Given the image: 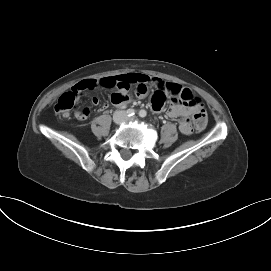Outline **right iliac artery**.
Returning <instances> with one entry per match:
<instances>
[{
    "instance_id": "obj_1",
    "label": "right iliac artery",
    "mask_w": 271,
    "mask_h": 271,
    "mask_svg": "<svg viewBox=\"0 0 271 271\" xmlns=\"http://www.w3.org/2000/svg\"><path fill=\"white\" fill-rule=\"evenodd\" d=\"M135 110L134 109H128L126 112H125V114L127 115V116H133V115H135Z\"/></svg>"
}]
</instances>
